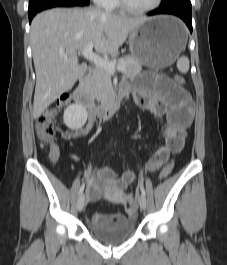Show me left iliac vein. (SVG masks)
<instances>
[{
	"label": "left iliac vein",
	"mask_w": 227,
	"mask_h": 265,
	"mask_svg": "<svg viewBox=\"0 0 227 265\" xmlns=\"http://www.w3.org/2000/svg\"><path fill=\"white\" fill-rule=\"evenodd\" d=\"M139 205H140L141 209H143V210L146 209L147 201H146V197L143 194L139 198Z\"/></svg>",
	"instance_id": "obj_1"
}]
</instances>
